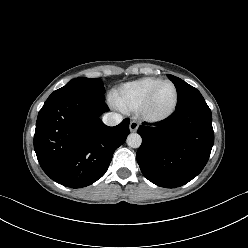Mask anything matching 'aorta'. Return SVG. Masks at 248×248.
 <instances>
[{
    "label": "aorta",
    "mask_w": 248,
    "mask_h": 248,
    "mask_svg": "<svg viewBox=\"0 0 248 248\" xmlns=\"http://www.w3.org/2000/svg\"><path fill=\"white\" fill-rule=\"evenodd\" d=\"M127 144L131 148H138L142 143V138L138 133H131L127 137Z\"/></svg>",
    "instance_id": "1"
}]
</instances>
